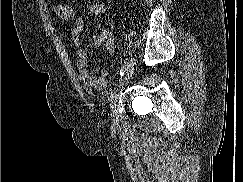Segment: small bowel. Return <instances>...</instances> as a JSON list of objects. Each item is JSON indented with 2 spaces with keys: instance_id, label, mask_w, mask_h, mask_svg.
<instances>
[{
  "instance_id": "obj_1",
  "label": "small bowel",
  "mask_w": 243,
  "mask_h": 182,
  "mask_svg": "<svg viewBox=\"0 0 243 182\" xmlns=\"http://www.w3.org/2000/svg\"><path fill=\"white\" fill-rule=\"evenodd\" d=\"M107 5L104 2L92 4L89 7V13L92 15H100L105 13ZM85 21L82 17L75 19L72 30V43L76 50V73L78 78L87 86L95 89H105L110 84L109 73L104 70L100 75L92 74L88 69V57L83 47ZM94 46H104L110 56V62L113 63V56L115 52L114 38L109 34H102L94 37Z\"/></svg>"
}]
</instances>
